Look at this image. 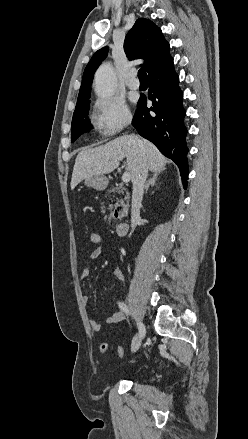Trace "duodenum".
I'll return each mask as SVG.
<instances>
[{
  "label": "duodenum",
  "mask_w": 248,
  "mask_h": 439,
  "mask_svg": "<svg viewBox=\"0 0 248 439\" xmlns=\"http://www.w3.org/2000/svg\"><path fill=\"white\" fill-rule=\"evenodd\" d=\"M116 213L122 218L120 222L116 224L115 230L117 235H123L128 230V223L123 219L125 217V211L121 208L116 210Z\"/></svg>",
  "instance_id": "obj_1"
}]
</instances>
